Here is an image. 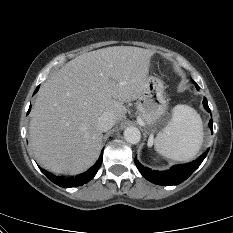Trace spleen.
Here are the masks:
<instances>
[{"instance_id":"1","label":"spleen","mask_w":233,"mask_h":233,"mask_svg":"<svg viewBox=\"0 0 233 233\" xmlns=\"http://www.w3.org/2000/svg\"><path fill=\"white\" fill-rule=\"evenodd\" d=\"M202 143V120L188 105L174 107L171 120L154 140L158 153L177 161H188L195 157Z\"/></svg>"}]
</instances>
